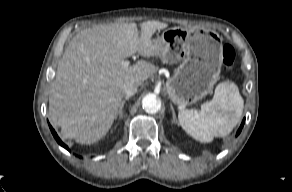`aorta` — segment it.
I'll return each instance as SVG.
<instances>
[{"mask_svg": "<svg viewBox=\"0 0 292 192\" xmlns=\"http://www.w3.org/2000/svg\"><path fill=\"white\" fill-rule=\"evenodd\" d=\"M142 107L147 113H157L161 108V102L155 94L149 93L142 99Z\"/></svg>", "mask_w": 292, "mask_h": 192, "instance_id": "1", "label": "aorta"}]
</instances>
